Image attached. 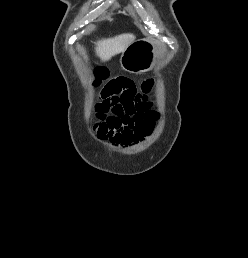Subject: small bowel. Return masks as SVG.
<instances>
[{"label":"small bowel","instance_id":"c3829d8e","mask_svg":"<svg viewBox=\"0 0 248 258\" xmlns=\"http://www.w3.org/2000/svg\"><path fill=\"white\" fill-rule=\"evenodd\" d=\"M149 88L148 82L142 92H138L134 83L124 77L116 78L105 85L104 96L110 97L117 113L125 117L116 128H108L104 123L97 125L96 130L103 139L109 140L113 145L123 146L151 134L157 115L146 96Z\"/></svg>","mask_w":248,"mask_h":258}]
</instances>
